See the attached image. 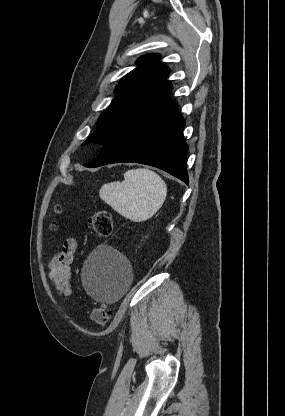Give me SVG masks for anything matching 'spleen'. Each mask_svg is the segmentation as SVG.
<instances>
[{"mask_svg":"<svg viewBox=\"0 0 285 416\" xmlns=\"http://www.w3.org/2000/svg\"><path fill=\"white\" fill-rule=\"evenodd\" d=\"M166 194L164 180L148 168L128 170L123 182L104 184L99 192L103 202L132 222L152 218L163 206Z\"/></svg>","mask_w":285,"mask_h":416,"instance_id":"obj_1","label":"spleen"}]
</instances>
